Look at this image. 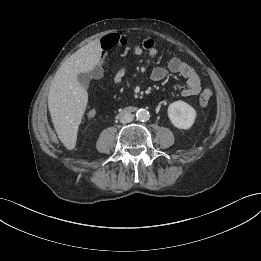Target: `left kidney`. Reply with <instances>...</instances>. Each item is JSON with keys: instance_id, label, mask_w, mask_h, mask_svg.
Returning <instances> with one entry per match:
<instances>
[{"instance_id": "5707ae66", "label": "left kidney", "mask_w": 261, "mask_h": 261, "mask_svg": "<svg viewBox=\"0 0 261 261\" xmlns=\"http://www.w3.org/2000/svg\"><path fill=\"white\" fill-rule=\"evenodd\" d=\"M168 117L171 123L178 129H189L194 124L196 110L184 101H175L168 107Z\"/></svg>"}]
</instances>
